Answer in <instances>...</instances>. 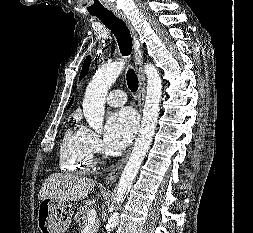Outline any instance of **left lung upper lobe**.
Segmentation results:
<instances>
[{"instance_id": "1", "label": "left lung upper lobe", "mask_w": 253, "mask_h": 233, "mask_svg": "<svg viewBox=\"0 0 253 233\" xmlns=\"http://www.w3.org/2000/svg\"><path fill=\"white\" fill-rule=\"evenodd\" d=\"M90 61H91V57L88 56V57L85 59V61H84L83 68H82L81 75H80V79L87 73L88 67H89V65H90Z\"/></svg>"}]
</instances>
